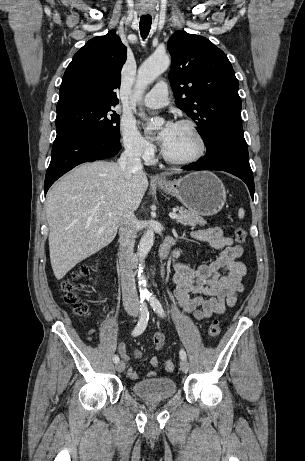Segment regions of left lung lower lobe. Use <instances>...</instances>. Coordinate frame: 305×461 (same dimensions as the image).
<instances>
[{
    "label": "left lung lower lobe",
    "instance_id": "left-lung-lower-lobe-1",
    "mask_svg": "<svg viewBox=\"0 0 305 461\" xmlns=\"http://www.w3.org/2000/svg\"><path fill=\"white\" fill-rule=\"evenodd\" d=\"M206 155L198 161L182 167L184 170H222L242 179L254 198V180L249 164L247 143L241 122L221 125L215 130Z\"/></svg>",
    "mask_w": 305,
    "mask_h": 461
}]
</instances>
